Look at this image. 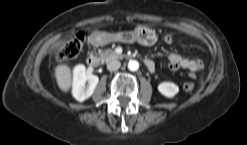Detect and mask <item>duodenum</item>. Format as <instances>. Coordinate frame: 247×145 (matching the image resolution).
Returning <instances> with one entry per match:
<instances>
[{
  "label": "duodenum",
  "mask_w": 247,
  "mask_h": 145,
  "mask_svg": "<svg viewBox=\"0 0 247 145\" xmlns=\"http://www.w3.org/2000/svg\"><path fill=\"white\" fill-rule=\"evenodd\" d=\"M104 40H105V36L98 34V35H95L93 37L92 42L95 45H99L102 42H104ZM87 63L91 67H97L98 66L99 62H98V59H97L95 53L91 52V53L88 54ZM145 65H146V67L148 68L149 71L153 72L155 70V64H154L153 61H151L149 59H146L145 60Z\"/></svg>",
  "instance_id": "duodenum-1"
}]
</instances>
